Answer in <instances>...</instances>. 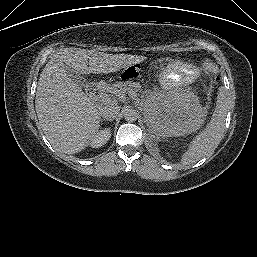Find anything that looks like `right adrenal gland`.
<instances>
[{
	"instance_id": "2a0ac1e0",
	"label": "right adrenal gland",
	"mask_w": 257,
	"mask_h": 257,
	"mask_svg": "<svg viewBox=\"0 0 257 257\" xmlns=\"http://www.w3.org/2000/svg\"><path fill=\"white\" fill-rule=\"evenodd\" d=\"M103 121H110V122H112L113 119H102L101 122H103Z\"/></svg>"
}]
</instances>
